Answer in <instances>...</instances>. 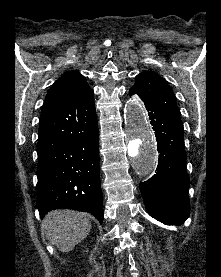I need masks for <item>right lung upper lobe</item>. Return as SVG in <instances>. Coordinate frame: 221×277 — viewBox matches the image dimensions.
I'll use <instances>...</instances> for the list:
<instances>
[{
	"mask_svg": "<svg viewBox=\"0 0 221 277\" xmlns=\"http://www.w3.org/2000/svg\"><path fill=\"white\" fill-rule=\"evenodd\" d=\"M91 91L85 78L77 71L63 74L48 91L44 105L62 103L79 98Z\"/></svg>",
	"mask_w": 221,
	"mask_h": 277,
	"instance_id": "cb5924a9",
	"label": "right lung upper lobe"
}]
</instances>
